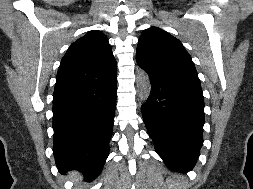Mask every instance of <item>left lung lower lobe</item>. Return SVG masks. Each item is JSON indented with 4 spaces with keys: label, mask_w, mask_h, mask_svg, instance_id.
<instances>
[{
    "label": "left lung lower lobe",
    "mask_w": 253,
    "mask_h": 189,
    "mask_svg": "<svg viewBox=\"0 0 253 189\" xmlns=\"http://www.w3.org/2000/svg\"><path fill=\"white\" fill-rule=\"evenodd\" d=\"M151 92L142 116L155 149L174 171L188 172L203 144L202 90L167 78L150 76Z\"/></svg>",
    "instance_id": "1"
}]
</instances>
